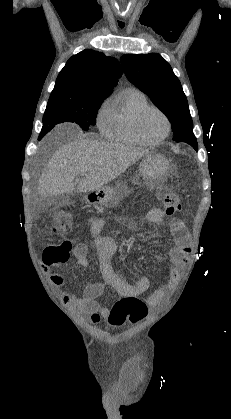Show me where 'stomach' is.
<instances>
[{"label": "stomach", "mask_w": 231, "mask_h": 419, "mask_svg": "<svg viewBox=\"0 0 231 419\" xmlns=\"http://www.w3.org/2000/svg\"><path fill=\"white\" fill-rule=\"evenodd\" d=\"M170 165L168 160L157 153L145 155L140 162L139 172L145 179L147 185L162 183L169 173ZM128 193L125 185L118 187L103 186L87 194L86 201L93 205H106L117 202Z\"/></svg>", "instance_id": "0dacf381"}]
</instances>
